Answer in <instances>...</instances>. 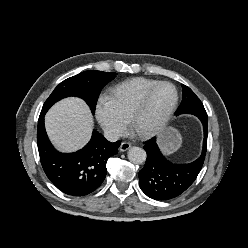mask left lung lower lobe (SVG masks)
Wrapping results in <instances>:
<instances>
[{"label": "left lung lower lobe", "instance_id": "1", "mask_svg": "<svg viewBox=\"0 0 248 248\" xmlns=\"http://www.w3.org/2000/svg\"><path fill=\"white\" fill-rule=\"evenodd\" d=\"M204 130L203 149L201 156L188 164H174L160 152L156 138L146 142V163L139 171V185L142 191L155 200H168L183 193L197 178L206 155L208 116H197Z\"/></svg>", "mask_w": 248, "mask_h": 248}]
</instances>
